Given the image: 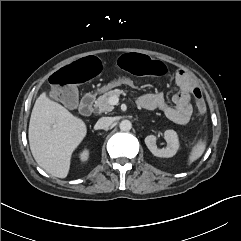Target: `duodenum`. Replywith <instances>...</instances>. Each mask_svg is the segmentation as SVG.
Masks as SVG:
<instances>
[{
	"label": "duodenum",
	"mask_w": 241,
	"mask_h": 241,
	"mask_svg": "<svg viewBox=\"0 0 241 241\" xmlns=\"http://www.w3.org/2000/svg\"><path fill=\"white\" fill-rule=\"evenodd\" d=\"M95 96L92 92L86 93L82 99L79 106L80 113L84 116H89L92 114Z\"/></svg>",
	"instance_id": "duodenum-1"
}]
</instances>
